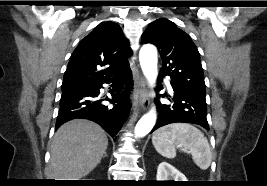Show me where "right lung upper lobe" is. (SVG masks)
<instances>
[{"label": "right lung upper lobe", "mask_w": 267, "mask_h": 186, "mask_svg": "<svg viewBox=\"0 0 267 186\" xmlns=\"http://www.w3.org/2000/svg\"><path fill=\"white\" fill-rule=\"evenodd\" d=\"M132 55L120 26L102 22L76 47L64 74L63 86L109 77L129 65ZM108 65L107 68L100 69Z\"/></svg>", "instance_id": "cb5924a9"}]
</instances>
